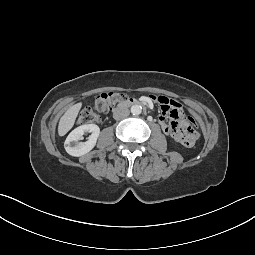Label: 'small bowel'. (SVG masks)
<instances>
[{
  "label": "small bowel",
  "mask_w": 255,
  "mask_h": 255,
  "mask_svg": "<svg viewBox=\"0 0 255 255\" xmlns=\"http://www.w3.org/2000/svg\"><path fill=\"white\" fill-rule=\"evenodd\" d=\"M155 100L154 98L152 99ZM160 108L162 115L159 123L162 130L173 140L189 147H195L199 143L198 128H194L187 120L189 117L181 105L169 97L161 99Z\"/></svg>",
  "instance_id": "obj_1"
}]
</instances>
